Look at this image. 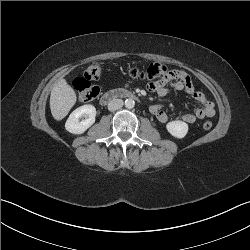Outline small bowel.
Listing matches in <instances>:
<instances>
[{
  "instance_id": "1",
  "label": "small bowel",
  "mask_w": 250,
  "mask_h": 250,
  "mask_svg": "<svg viewBox=\"0 0 250 250\" xmlns=\"http://www.w3.org/2000/svg\"><path fill=\"white\" fill-rule=\"evenodd\" d=\"M145 87L160 97L166 96L171 91H185L195 101L199 102L202 105L201 108H196L192 113L178 115L177 118L186 123L192 124L199 119L210 118L215 115L214 103L203 92L195 88L190 76L184 71L172 70L166 72L163 78H160L157 82L154 80L147 81ZM150 112L162 123L171 118L160 104L151 105Z\"/></svg>"
}]
</instances>
